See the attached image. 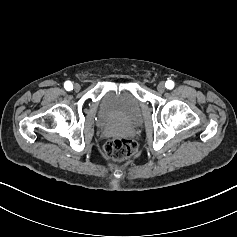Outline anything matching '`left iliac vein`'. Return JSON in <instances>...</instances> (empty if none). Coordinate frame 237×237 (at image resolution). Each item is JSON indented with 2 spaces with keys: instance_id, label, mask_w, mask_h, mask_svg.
I'll use <instances>...</instances> for the list:
<instances>
[{
  "instance_id": "obj_1",
  "label": "left iliac vein",
  "mask_w": 237,
  "mask_h": 237,
  "mask_svg": "<svg viewBox=\"0 0 237 237\" xmlns=\"http://www.w3.org/2000/svg\"><path fill=\"white\" fill-rule=\"evenodd\" d=\"M157 89L159 92H164L165 90V84L164 82H160L158 85H157Z\"/></svg>"
}]
</instances>
